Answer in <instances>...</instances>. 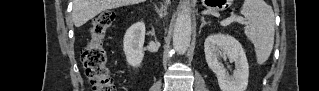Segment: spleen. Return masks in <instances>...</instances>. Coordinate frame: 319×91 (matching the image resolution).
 <instances>
[{"label": "spleen", "mask_w": 319, "mask_h": 91, "mask_svg": "<svg viewBox=\"0 0 319 91\" xmlns=\"http://www.w3.org/2000/svg\"><path fill=\"white\" fill-rule=\"evenodd\" d=\"M241 14L248 22L244 33L254 45L257 63L262 65L268 60L274 44L275 17L272 7L264 0H245Z\"/></svg>", "instance_id": "1"}]
</instances>
